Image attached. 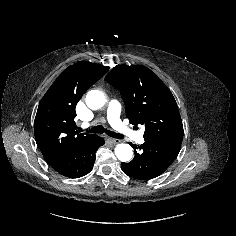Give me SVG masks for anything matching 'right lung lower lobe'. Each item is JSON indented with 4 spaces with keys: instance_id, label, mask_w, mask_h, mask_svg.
Returning <instances> with one entry per match:
<instances>
[{
    "instance_id": "obj_1",
    "label": "right lung lower lobe",
    "mask_w": 236,
    "mask_h": 236,
    "mask_svg": "<svg viewBox=\"0 0 236 236\" xmlns=\"http://www.w3.org/2000/svg\"><path fill=\"white\" fill-rule=\"evenodd\" d=\"M102 145L103 138L95 135L72 150L44 159L59 174L68 178H79L92 170L96 150Z\"/></svg>"
}]
</instances>
